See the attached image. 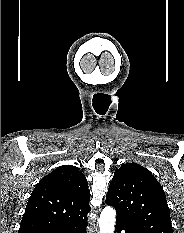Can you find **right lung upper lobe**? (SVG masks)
<instances>
[{
    "mask_svg": "<svg viewBox=\"0 0 184 233\" xmlns=\"http://www.w3.org/2000/svg\"><path fill=\"white\" fill-rule=\"evenodd\" d=\"M90 191L84 174L63 165L46 175L33 190L18 233H40L87 217Z\"/></svg>",
    "mask_w": 184,
    "mask_h": 233,
    "instance_id": "1",
    "label": "right lung upper lobe"
}]
</instances>
